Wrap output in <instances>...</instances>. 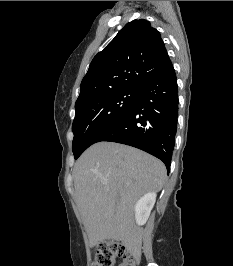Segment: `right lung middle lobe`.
Instances as JSON below:
<instances>
[{"label":"right lung middle lobe","mask_w":233,"mask_h":266,"mask_svg":"<svg viewBox=\"0 0 233 266\" xmlns=\"http://www.w3.org/2000/svg\"><path fill=\"white\" fill-rule=\"evenodd\" d=\"M139 92V89L111 90L75 104L72 125L75 159L130 109Z\"/></svg>","instance_id":"obj_1"}]
</instances>
